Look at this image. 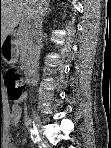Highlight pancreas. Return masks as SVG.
<instances>
[{
  "mask_svg": "<svg viewBox=\"0 0 111 148\" xmlns=\"http://www.w3.org/2000/svg\"><path fill=\"white\" fill-rule=\"evenodd\" d=\"M19 47H20V63L23 69L27 68V57H28V38H29V27L20 26L18 33Z\"/></svg>",
  "mask_w": 111,
  "mask_h": 148,
  "instance_id": "pancreas-1",
  "label": "pancreas"
}]
</instances>
